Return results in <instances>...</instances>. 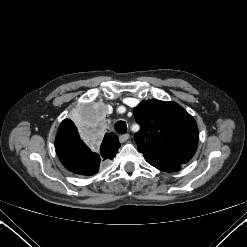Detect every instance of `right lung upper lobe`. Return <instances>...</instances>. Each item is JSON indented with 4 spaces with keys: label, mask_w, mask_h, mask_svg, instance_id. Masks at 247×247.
<instances>
[{
    "label": "right lung upper lobe",
    "mask_w": 247,
    "mask_h": 247,
    "mask_svg": "<svg viewBox=\"0 0 247 247\" xmlns=\"http://www.w3.org/2000/svg\"><path fill=\"white\" fill-rule=\"evenodd\" d=\"M58 134H68L76 137H80L77 131L76 126L74 123L69 120L65 119L58 129ZM120 147V143L118 141V138L116 134L114 133H106L103 141L100 145V150L98 151L99 145H96L97 151L104 157V162L106 159H109L111 156H113Z\"/></svg>",
    "instance_id": "obj_1"
}]
</instances>
